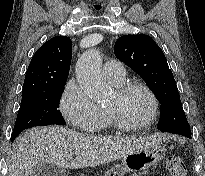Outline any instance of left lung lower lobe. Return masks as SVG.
<instances>
[{
  "label": "left lung lower lobe",
  "mask_w": 205,
  "mask_h": 176,
  "mask_svg": "<svg viewBox=\"0 0 205 176\" xmlns=\"http://www.w3.org/2000/svg\"><path fill=\"white\" fill-rule=\"evenodd\" d=\"M186 137L191 138V134H189V135H188V136H186Z\"/></svg>",
  "instance_id": "1"
}]
</instances>
